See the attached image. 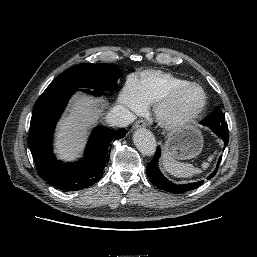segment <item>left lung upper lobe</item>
<instances>
[{"label":"left lung upper lobe","mask_w":257,"mask_h":257,"mask_svg":"<svg viewBox=\"0 0 257 257\" xmlns=\"http://www.w3.org/2000/svg\"><path fill=\"white\" fill-rule=\"evenodd\" d=\"M224 117H225V115L217 107V108H215V110L213 112H211L206 118H204L201 121V124L205 125V126H209V127L220 126V125L226 123L224 120Z\"/></svg>","instance_id":"obj_1"}]
</instances>
